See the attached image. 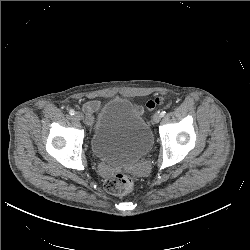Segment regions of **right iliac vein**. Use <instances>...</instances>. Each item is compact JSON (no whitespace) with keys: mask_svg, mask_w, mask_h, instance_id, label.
Returning <instances> with one entry per match:
<instances>
[{"mask_svg":"<svg viewBox=\"0 0 250 250\" xmlns=\"http://www.w3.org/2000/svg\"><path fill=\"white\" fill-rule=\"evenodd\" d=\"M74 118L78 121L82 120L83 119V114L81 112H76L74 114Z\"/></svg>","mask_w":250,"mask_h":250,"instance_id":"1","label":"right iliac vein"}]
</instances>
